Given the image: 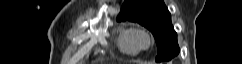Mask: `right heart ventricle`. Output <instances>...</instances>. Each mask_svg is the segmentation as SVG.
<instances>
[{
    "instance_id": "e07e8e85",
    "label": "right heart ventricle",
    "mask_w": 242,
    "mask_h": 64,
    "mask_svg": "<svg viewBox=\"0 0 242 64\" xmlns=\"http://www.w3.org/2000/svg\"><path fill=\"white\" fill-rule=\"evenodd\" d=\"M134 28L122 27L118 31L116 44L119 50L127 55H136L138 49L133 41Z\"/></svg>"
}]
</instances>
